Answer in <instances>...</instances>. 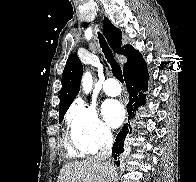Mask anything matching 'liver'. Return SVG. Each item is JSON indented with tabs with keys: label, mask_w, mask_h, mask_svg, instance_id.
Masks as SVG:
<instances>
[{
	"label": "liver",
	"mask_w": 196,
	"mask_h": 182,
	"mask_svg": "<svg viewBox=\"0 0 196 182\" xmlns=\"http://www.w3.org/2000/svg\"><path fill=\"white\" fill-rule=\"evenodd\" d=\"M114 171L113 165L91 157L64 165L57 182H111Z\"/></svg>",
	"instance_id": "obj_1"
}]
</instances>
